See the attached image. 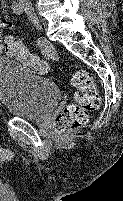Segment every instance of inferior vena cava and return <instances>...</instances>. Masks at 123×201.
Here are the masks:
<instances>
[{
	"label": "inferior vena cava",
	"mask_w": 123,
	"mask_h": 201,
	"mask_svg": "<svg viewBox=\"0 0 123 201\" xmlns=\"http://www.w3.org/2000/svg\"><path fill=\"white\" fill-rule=\"evenodd\" d=\"M19 1H20L22 4L26 5V6L30 5L29 0H19Z\"/></svg>",
	"instance_id": "1"
}]
</instances>
